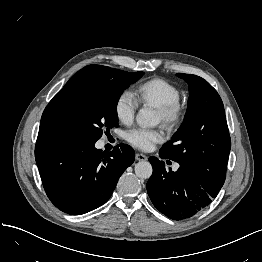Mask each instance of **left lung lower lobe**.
I'll list each match as a JSON object with an SVG mask.
<instances>
[{"label":"left lung lower lobe","mask_w":262,"mask_h":262,"mask_svg":"<svg viewBox=\"0 0 262 262\" xmlns=\"http://www.w3.org/2000/svg\"><path fill=\"white\" fill-rule=\"evenodd\" d=\"M161 158L168 159L159 152ZM153 173L146 188L153 205L174 220L190 218L206 208L220 191L225 177L217 183L207 182L191 170L180 166L176 172L167 171L163 161L149 158Z\"/></svg>","instance_id":"1"}]
</instances>
